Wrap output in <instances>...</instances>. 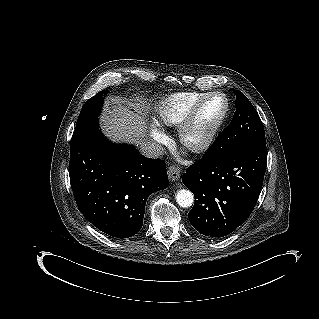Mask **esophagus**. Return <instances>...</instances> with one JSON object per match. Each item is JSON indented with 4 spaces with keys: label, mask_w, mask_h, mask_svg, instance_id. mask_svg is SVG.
<instances>
[{
    "label": "esophagus",
    "mask_w": 319,
    "mask_h": 319,
    "mask_svg": "<svg viewBox=\"0 0 319 319\" xmlns=\"http://www.w3.org/2000/svg\"><path fill=\"white\" fill-rule=\"evenodd\" d=\"M169 180L174 182L180 178V168L176 165H172L168 169Z\"/></svg>",
    "instance_id": "34e87169"
}]
</instances>
